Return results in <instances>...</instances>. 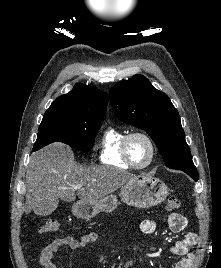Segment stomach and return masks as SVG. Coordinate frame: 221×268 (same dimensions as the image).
<instances>
[{
  "label": "stomach",
  "mask_w": 221,
  "mask_h": 268,
  "mask_svg": "<svg viewBox=\"0 0 221 268\" xmlns=\"http://www.w3.org/2000/svg\"><path fill=\"white\" fill-rule=\"evenodd\" d=\"M121 201L138 208H149L162 203L169 195L168 186L153 177L134 176L121 186ZM118 200L109 194L98 201L80 200L72 206L73 214L81 219H91L99 212L110 213L117 208Z\"/></svg>",
  "instance_id": "stomach-1"
}]
</instances>
